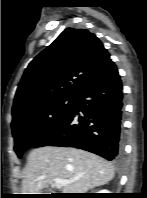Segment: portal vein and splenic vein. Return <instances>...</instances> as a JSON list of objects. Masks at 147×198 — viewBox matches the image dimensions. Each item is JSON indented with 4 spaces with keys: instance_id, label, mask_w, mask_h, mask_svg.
<instances>
[{
    "instance_id": "portal-vein-and-splenic-vein-1",
    "label": "portal vein and splenic vein",
    "mask_w": 147,
    "mask_h": 198,
    "mask_svg": "<svg viewBox=\"0 0 147 198\" xmlns=\"http://www.w3.org/2000/svg\"><path fill=\"white\" fill-rule=\"evenodd\" d=\"M69 182L66 180H62V179H55L54 180V185L56 186H66Z\"/></svg>"
}]
</instances>
